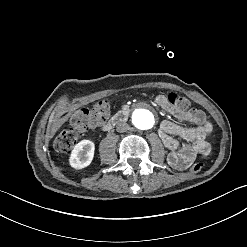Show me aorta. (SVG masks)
Returning a JSON list of instances; mask_svg holds the SVG:
<instances>
[{
  "label": "aorta",
  "instance_id": "aorta-1",
  "mask_svg": "<svg viewBox=\"0 0 247 247\" xmlns=\"http://www.w3.org/2000/svg\"><path fill=\"white\" fill-rule=\"evenodd\" d=\"M133 121L135 125L142 130L150 129L154 124V119L152 114L144 109L137 111L133 115Z\"/></svg>",
  "mask_w": 247,
  "mask_h": 247
}]
</instances>
